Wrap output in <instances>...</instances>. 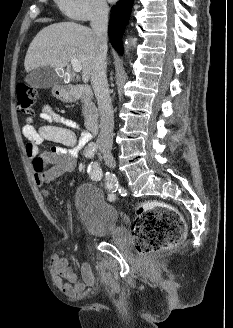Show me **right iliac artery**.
Wrapping results in <instances>:
<instances>
[{"instance_id": "right-iliac-artery-1", "label": "right iliac artery", "mask_w": 233, "mask_h": 328, "mask_svg": "<svg viewBox=\"0 0 233 328\" xmlns=\"http://www.w3.org/2000/svg\"><path fill=\"white\" fill-rule=\"evenodd\" d=\"M96 152L97 146L94 143L89 144L85 151V156L87 158H92ZM114 176L115 175H109L104 182V187L107 190L108 200L111 202L116 200V191L118 189V182Z\"/></svg>"}]
</instances>
